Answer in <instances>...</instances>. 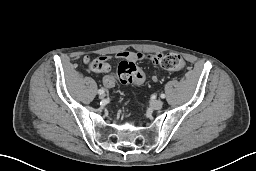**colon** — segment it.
I'll list each match as a JSON object with an SVG mask.
<instances>
[{
	"instance_id": "obj_1",
	"label": "colon",
	"mask_w": 256,
	"mask_h": 171,
	"mask_svg": "<svg viewBox=\"0 0 256 171\" xmlns=\"http://www.w3.org/2000/svg\"><path fill=\"white\" fill-rule=\"evenodd\" d=\"M89 68L94 73H107L109 64L103 58H94L88 61ZM160 65L166 70H179L183 67L182 58L175 53L162 55ZM121 83L141 84L145 80V74L135 63L123 61L119 64L114 75Z\"/></svg>"
}]
</instances>
